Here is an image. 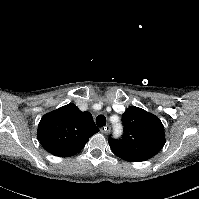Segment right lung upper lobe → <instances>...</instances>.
<instances>
[{
	"label": "right lung upper lobe",
	"mask_w": 199,
	"mask_h": 199,
	"mask_svg": "<svg viewBox=\"0 0 199 199\" xmlns=\"http://www.w3.org/2000/svg\"><path fill=\"white\" fill-rule=\"evenodd\" d=\"M99 132L92 115L68 104L45 114L38 125L37 138L51 154L70 157L80 152L89 138Z\"/></svg>",
	"instance_id": "right-lung-upper-lobe-1"
}]
</instances>
